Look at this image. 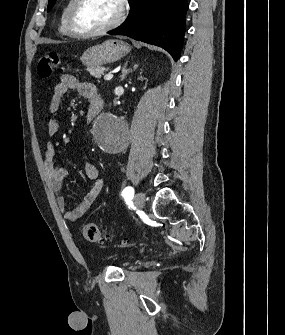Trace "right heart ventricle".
I'll return each instance as SVG.
<instances>
[{
  "label": "right heart ventricle",
  "mask_w": 285,
  "mask_h": 335,
  "mask_svg": "<svg viewBox=\"0 0 285 335\" xmlns=\"http://www.w3.org/2000/svg\"><path fill=\"white\" fill-rule=\"evenodd\" d=\"M74 1H67L66 6L62 15V23L60 27L61 33L68 38H75V35L72 34L69 28V13ZM86 60H98L97 58H88Z\"/></svg>",
  "instance_id": "1"
}]
</instances>
